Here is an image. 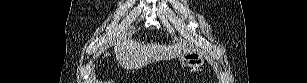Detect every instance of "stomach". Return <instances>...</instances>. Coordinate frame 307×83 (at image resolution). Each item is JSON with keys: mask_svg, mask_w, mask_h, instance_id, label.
I'll list each match as a JSON object with an SVG mask.
<instances>
[{"mask_svg": "<svg viewBox=\"0 0 307 83\" xmlns=\"http://www.w3.org/2000/svg\"><path fill=\"white\" fill-rule=\"evenodd\" d=\"M182 65L198 68L204 64V56L200 52H186L179 58Z\"/></svg>", "mask_w": 307, "mask_h": 83, "instance_id": "0dacf381", "label": "stomach"}]
</instances>
